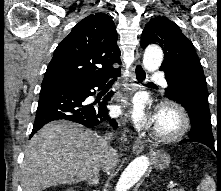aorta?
Here are the masks:
<instances>
[{
  "label": "aorta",
  "instance_id": "aorta-1",
  "mask_svg": "<svg viewBox=\"0 0 221 191\" xmlns=\"http://www.w3.org/2000/svg\"><path fill=\"white\" fill-rule=\"evenodd\" d=\"M163 61V52L157 45H150L145 49L143 56V66L148 72H154L159 69ZM149 165L146 156H140L134 159L121 174L115 191H128L143 176Z\"/></svg>",
  "mask_w": 221,
  "mask_h": 191
}]
</instances>
